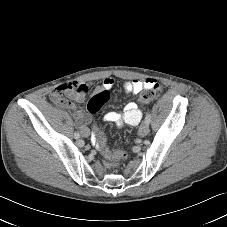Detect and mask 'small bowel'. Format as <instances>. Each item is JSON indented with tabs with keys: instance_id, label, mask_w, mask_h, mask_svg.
<instances>
[{
	"instance_id": "small-bowel-1",
	"label": "small bowel",
	"mask_w": 227,
	"mask_h": 227,
	"mask_svg": "<svg viewBox=\"0 0 227 227\" xmlns=\"http://www.w3.org/2000/svg\"><path fill=\"white\" fill-rule=\"evenodd\" d=\"M152 80L153 79H146L143 81L141 80L126 81L123 84V90L127 94H138L142 90L148 89L151 86ZM71 84H74L77 87L75 91L69 92L64 97L56 99L55 93L59 88L58 87L51 93V98L60 107L73 111L74 117L76 118V120L80 125L81 132L82 134H84L85 130L89 131L86 125L90 121V117L87 114H85L83 111L78 109L71 100L66 98V96L69 98H72L77 102H82L86 94L88 93L89 89L91 88L92 84L91 82H85L80 84L69 83V85ZM65 85H68V84H65ZM113 85H114V80L112 78H109V77L105 78L102 82V86L98 89V92L103 90H109L110 88L113 87ZM141 119H142V112L138 108L137 104L133 102L126 104L122 112L111 111L103 117L104 122H113L119 126L124 124L135 126L141 121ZM98 142L99 141L96 138L95 134H93L92 143L97 147V149H99L102 152L108 149L106 146V143L103 147H100L98 145Z\"/></svg>"
}]
</instances>
